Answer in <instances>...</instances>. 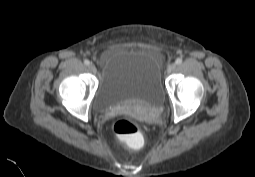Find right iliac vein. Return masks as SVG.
<instances>
[{
    "instance_id": "63e3f726",
    "label": "right iliac vein",
    "mask_w": 255,
    "mask_h": 177,
    "mask_svg": "<svg viewBox=\"0 0 255 177\" xmlns=\"http://www.w3.org/2000/svg\"><path fill=\"white\" fill-rule=\"evenodd\" d=\"M88 69H89V71H90L91 73H96V72H97V69H96V67H95L93 64H90V65L88 66Z\"/></svg>"
}]
</instances>
